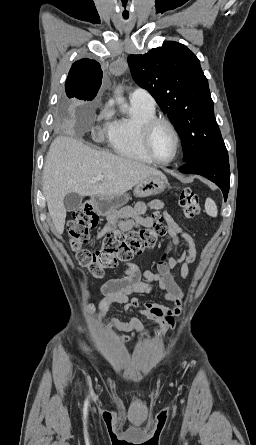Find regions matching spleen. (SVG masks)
<instances>
[{
  "mask_svg": "<svg viewBox=\"0 0 256 445\" xmlns=\"http://www.w3.org/2000/svg\"><path fill=\"white\" fill-rule=\"evenodd\" d=\"M205 211L211 217H216L218 214L217 206L211 198H207L205 201Z\"/></svg>",
  "mask_w": 256,
  "mask_h": 445,
  "instance_id": "obj_1",
  "label": "spleen"
}]
</instances>
